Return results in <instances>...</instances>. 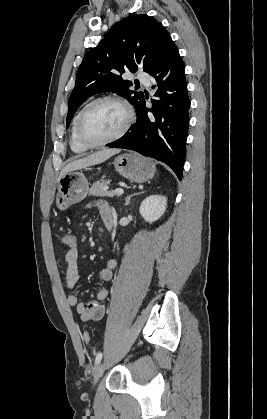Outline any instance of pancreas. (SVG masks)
<instances>
[{
	"label": "pancreas",
	"instance_id": "1",
	"mask_svg": "<svg viewBox=\"0 0 267 419\" xmlns=\"http://www.w3.org/2000/svg\"><path fill=\"white\" fill-rule=\"evenodd\" d=\"M110 183V181L99 180L93 183L92 187L89 190V195L92 196H107L113 197L115 193L113 191H107L105 187Z\"/></svg>",
	"mask_w": 267,
	"mask_h": 419
}]
</instances>
